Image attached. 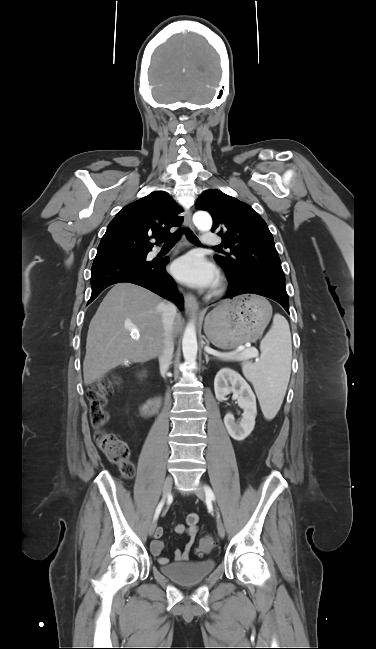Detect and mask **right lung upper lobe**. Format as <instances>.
<instances>
[{
	"label": "right lung upper lobe",
	"mask_w": 376,
	"mask_h": 649,
	"mask_svg": "<svg viewBox=\"0 0 376 649\" xmlns=\"http://www.w3.org/2000/svg\"><path fill=\"white\" fill-rule=\"evenodd\" d=\"M181 208L165 191H154L125 206L109 223L98 246L97 255L148 252L153 245L149 239L161 243L170 234L171 227L182 224L178 216Z\"/></svg>",
	"instance_id": "right-lung-upper-lobe-1"
}]
</instances>
